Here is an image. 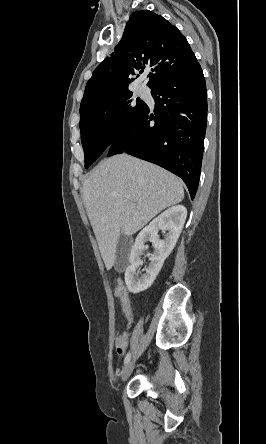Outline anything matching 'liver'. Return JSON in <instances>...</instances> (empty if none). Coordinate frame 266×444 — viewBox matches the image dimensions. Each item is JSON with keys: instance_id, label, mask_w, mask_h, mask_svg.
<instances>
[{"instance_id": "6515ba94", "label": "liver", "mask_w": 266, "mask_h": 444, "mask_svg": "<svg viewBox=\"0 0 266 444\" xmlns=\"http://www.w3.org/2000/svg\"><path fill=\"white\" fill-rule=\"evenodd\" d=\"M82 198L104 264L110 270L120 234L136 233L162 210L181 202L184 189L181 181L163 168L119 154L92 170L84 181Z\"/></svg>"}]
</instances>
